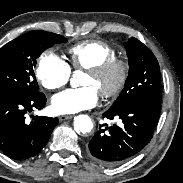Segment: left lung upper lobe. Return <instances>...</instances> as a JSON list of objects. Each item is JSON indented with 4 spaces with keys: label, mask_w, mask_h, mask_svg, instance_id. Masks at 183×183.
<instances>
[{
    "label": "left lung upper lobe",
    "mask_w": 183,
    "mask_h": 183,
    "mask_svg": "<svg viewBox=\"0 0 183 183\" xmlns=\"http://www.w3.org/2000/svg\"><path fill=\"white\" fill-rule=\"evenodd\" d=\"M129 75L119 97L110 109H117L127 103L150 101L161 103L160 68L152 51L136 38L124 43Z\"/></svg>",
    "instance_id": "5c2ea615"
}]
</instances>
